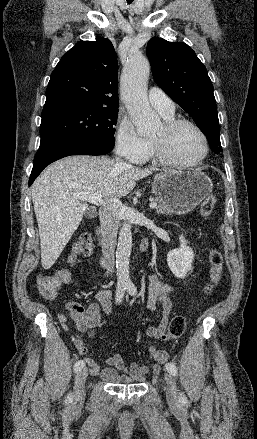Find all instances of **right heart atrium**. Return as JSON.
<instances>
[{
    "label": "right heart atrium",
    "instance_id": "d8ad5b80",
    "mask_svg": "<svg viewBox=\"0 0 257 439\" xmlns=\"http://www.w3.org/2000/svg\"><path fill=\"white\" fill-rule=\"evenodd\" d=\"M114 138L116 152L122 158L131 162H140L146 157L148 140L137 132L129 118L119 116Z\"/></svg>",
    "mask_w": 257,
    "mask_h": 439
}]
</instances>
